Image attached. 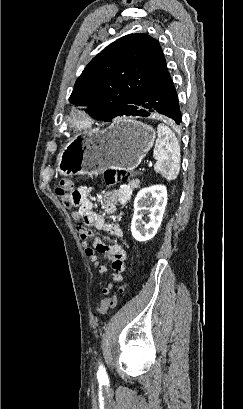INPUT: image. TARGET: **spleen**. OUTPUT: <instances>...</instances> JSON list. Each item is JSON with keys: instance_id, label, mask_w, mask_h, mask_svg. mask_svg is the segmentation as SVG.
<instances>
[{"instance_id": "1", "label": "spleen", "mask_w": 243, "mask_h": 409, "mask_svg": "<svg viewBox=\"0 0 243 409\" xmlns=\"http://www.w3.org/2000/svg\"><path fill=\"white\" fill-rule=\"evenodd\" d=\"M157 139L154 158L157 160L154 170L161 173L167 180L177 177L180 169V145L173 131L164 124L157 127Z\"/></svg>"}]
</instances>
